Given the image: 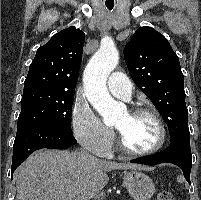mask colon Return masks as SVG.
<instances>
[{
    "instance_id": "1",
    "label": "colon",
    "mask_w": 201,
    "mask_h": 200,
    "mask_svg": "<svg viewBox=\"0 0 201 200\" xmlns=\"http://www.w3.org/2000/svg\"><path fill=\"white\" fill-rule=\"evenodd\" d=\"M156 200H174L173 196L170 192L168 191H160L157 194Z\"/></svg>"
}]
</instances>
